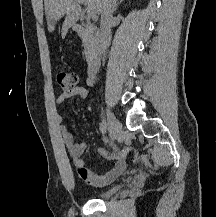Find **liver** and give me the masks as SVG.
Instances as JSON below:
<instances>
[{
  "label": "liver",
  "instance_id": "1",
  "mask_svg": "<svg viewBox=\"0 0 216 217\" xmlns=\"http://www.w3.org/2000/svg\"><path fill=\"white\" fill-rule=\"evenodd\" d=\"M85 2L98 15L105 4V0H85ZM44 5L49 32H53L55 23L66 15L62 27V34L65 35L80 17L81 7L78 0H44Z\"/></svg>",
  "mask_w": 216,
  "mask_h": 217
}]
</instances>
